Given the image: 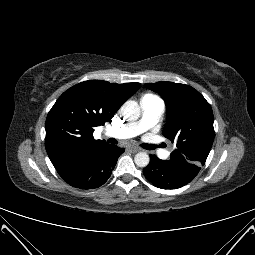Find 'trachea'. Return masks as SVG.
<instances>
[{"label":"trachea","instance_id":"1","mask_svg":"<svg viewBox=\"0 0 255 255\" xmlns=\"http://www.w3.org/2000/svg\"><path fill=\"white\" fill-rule=\"evenodd\" d=\"M109 142L115 143L116 141L114 139H109ZM156 147H157L156 145H152V144H147V145L144 146V148H146L147 150H153Z\"/></svg>","mask_w":255,"mask_h":255}]
</instances>
